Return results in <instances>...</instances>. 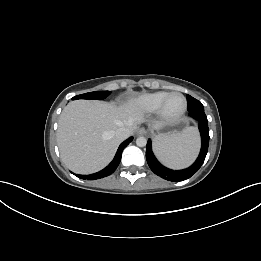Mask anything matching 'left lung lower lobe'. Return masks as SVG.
<instances>
[{
  "label": "left lung lower lobe",
  "instance_id": "obj_1",
  "mask_svg": "<svg viewBox=\"0 0 261 261\" xmlns=\"http://www.w3.org/2000/svg\"><path fill=\"white\" fill-rule=\"evenodd\" d=\"M189 116L199 123V131L201 135V151L197 160L188 168L183 170H171L164 167L154 156L151 147V140H148L146 147V160L150 169L158 176L169 181H182L194 175L202 166L209 145V128L206 114L203 110L189 111Z\"/></svg>",
  "mask_w": 261,
  "mask_h": 261
}]
</instances>
